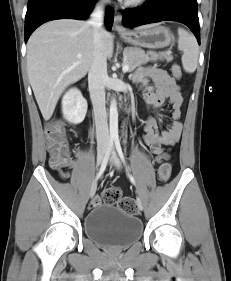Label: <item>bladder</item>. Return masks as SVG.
Returning <instances> with one entry per match:
<instances>
[{"instance_id":"1","label":"bladder","mask_w":231,"mask_h":281,"mask_svg":"<svg viewBox=\"0 0 231 281\" xmlns=\"http://www.w3.org/2000/svg\"><path fill=\"white\" fill-rule=\"evenodd\" d=\"M85 235L97 244L123 250L137 242L143 233L139 218L109 204L98 205L84 218Z\"/></svg>"}]
</instances>
